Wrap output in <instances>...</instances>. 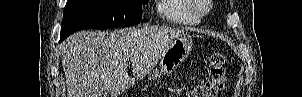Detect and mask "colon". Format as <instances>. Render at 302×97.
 <instances>
[{"label":"colon","instance_id":"colon-1","mask_svg":"<svg viewBox=\"0 0 302 97\" xmlns=\"http://www.w3.org/2000/svg\"><path fill=\"white\" fill-rule=\"evenodd\" d=\"M226 61L227 58L224 53H213L210 57L208 66L209 80L203 84L195 86L187 93V97H217L225 85Z\"/></svg>","mask_w":302,"mask_h":97}]
</instances>
